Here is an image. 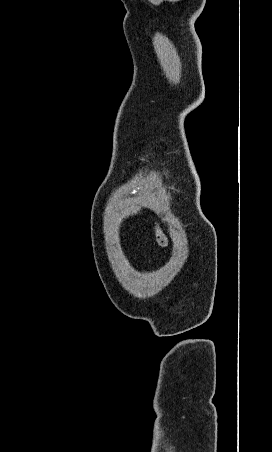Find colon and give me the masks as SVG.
Wrapping results in <instances>:
<instances>
[{"label": "colon", "mask_w": 272, "mask_h": 452, "mask_svg": "<svg viewBox=\"0 0 272 452\" xmlns=\"http://www.w3.org/2000/svg\"><path fill=\"white\" fill-rule=\"evenodd\" d=\"M156 236H157V241L159 242V244H161V245H165L166 244V239H165V237L163 236V234L159 230H157Z\"/></svg>", "instance_id": "colon-1"}]
</instances>
